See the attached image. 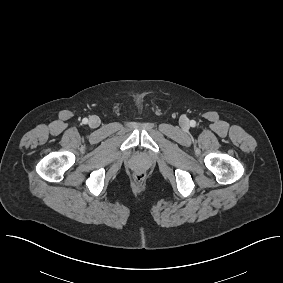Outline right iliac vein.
Returning a JSON list of instances; mask_svg holds the SVG:
<instances>
[{"instance_id": "obj_1", "label": "right iliac vein", "mask_w": 283, "mask_h": 283, "mask_svg": "<svg viewBox=\"0 0 283 283\" xmlns=\"http://www.w3.org/2000/svg\"><path fill=\"white\" fill-rule=\"evenodd\" d=\"M88 124L91 128H96L100 125V119L97 116H91Z\"/></svg>"}]
</instances>
